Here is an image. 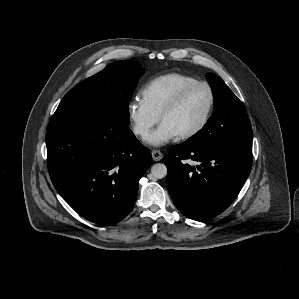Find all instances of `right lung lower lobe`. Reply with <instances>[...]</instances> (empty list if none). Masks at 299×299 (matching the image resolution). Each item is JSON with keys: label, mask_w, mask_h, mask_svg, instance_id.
Returning a JSON list of instances; mask_svg holds the SVG:
<instances>
[{"label": "right lung lower lobe", "mask_w": 299, "mask_h": 299, "mask_svg": "<svg viewBox=\"0 0 299 299\" xmlns=\"http://www.w3.org/2000/svg\"><path fill=\"white\" fill-rule=\"evenodd\" d=\"M47 164L57 192L82 217L121 221L133 208L151 152L129 126L112 119L48 125Z\"/></svg>", "instance_id": "right-lung-lower-lobe-1"}]
</instances>
